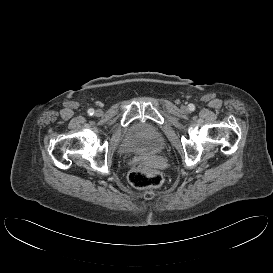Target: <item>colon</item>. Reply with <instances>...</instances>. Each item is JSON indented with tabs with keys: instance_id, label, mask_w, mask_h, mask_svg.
<instances>
[{
	"instance_id": "obj_1",
	"label": "colon",
	"mask_w": 273,
	"mask_h": 273,
	"mask_svg": "<svg viewBox=\"0 0 273 273\" xmlns=\"http://www.w3.org/2000/svg\"><path fill=\"white\" fill-rule=\"evenodd\" d=\"M128 181L136 188H157L163 183L162 174L143 161H137L128 170Z\"/></svg>"
}]
</instances>
